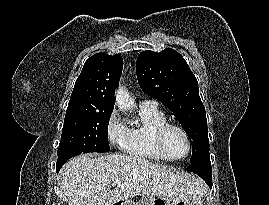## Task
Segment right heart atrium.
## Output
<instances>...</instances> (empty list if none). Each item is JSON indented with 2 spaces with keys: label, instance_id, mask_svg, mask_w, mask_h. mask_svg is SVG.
<instances>
[{
  "label": "right heart atrium",
  "instance_id": "1",
  "mask_svg": "<svg viewBox=\"0 0 269 205\" xmlns=\"http://www.w3.org/2000/svg\"><path fill=\"white\" fill-rule=\"evenodd\" d=\"M106 134L109 143L113 146L123 148L128 136V128L120 119L117 111L113 110L106 121Z\"/></svg>",
  "mask_w": 269,
  "mask_h": 205
}]
</instances>
